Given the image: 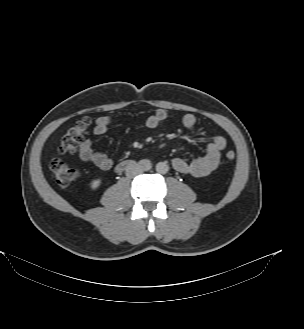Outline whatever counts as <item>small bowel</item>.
Listing matches in <instances>:
<instances>
[{
	"instance_id": "small-bowel-1",
	"label": "small bowel",
	"mask_w": 304,
	"mask_h": 329,
	"mask_svg": "<svg viewBox=\"0 0 304 329\" xmlns=\"http://www.w3.org/2000/svg\"><path fill=\"white\" fill-rule=\"evenodd\" d=\"M167 118V112L163 109H158L147 118L144 127L151 130L157 129L165 123ZM111 123L112 118L110 116H100L96 120L94 134L97 136L106 134ZM182 124L187 130L194 133L197 127V119L195 115L188 113L182 117ZM226 144L227 141L225 137L221 135L214 136L211 142L207 144L203 157L192 161L174 158L172 160V166L175 171L194 178L207 176L218 167L221 151L225 148ZM79 156L83 161L91 163L102 170H108L113 165V161L109 155L94 150L91 140H84L81 142L79 146Z\"/></svg>"
}]
</instances>
